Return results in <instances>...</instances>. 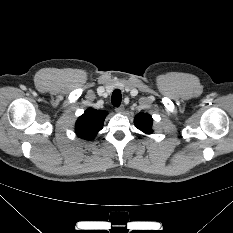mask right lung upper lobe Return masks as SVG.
I'll list each match as a JSON object with an SVG mask.
<instances>
[{
  "mask_svg": "<svg viewBox=\"0 0 233 233\" xmlns=\"http://www.w3.org/2000/svg\"><path fill=\"white\" fill-rule=\"evenodd\" d=\"M106 115V111L95 110L92 108L87 109L76 122L75 132L77 136L82 139L92 140L102 129Z\"/></svg>",
  "mask_w": 233,
  "mask_h": 233,
  "instance_id": "1",
  "label": "right lung upper lobe"
}]
</instances>
